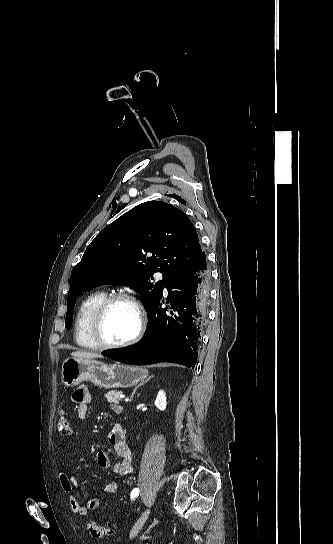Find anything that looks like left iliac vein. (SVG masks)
Returning a JSON list of instances; mask_svg holds the SVG:
<instances>
[{
	"label": "left iliac vein",
	"instance_id": "4c4485c4",
	"mask_svg": "<svg viewBox=\"0 0 333 544\" xmlns=\"http://www.w3.org/2000/svg\"><path fill=\"white\" fill-rule=\"evenodd\" d=\"M150 508H148L140 517L139 519L137 520V522L135 523V525L133 526L132 530H131V533H130V538H134L138 532L142 529L143 525L145 524L149 514H150Z\"/></svg>",
	"mask_w": 333,
	"mask_h": 544
}]
</instances>
